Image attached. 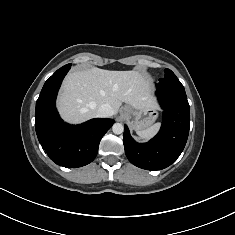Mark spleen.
<instances>
[{
    "label": "spleen",
    "mask_w": 235,
    "mask_h": 235,
    "mask_svg": "<svg viewBox=\"0 0 235 235\" xmlns=\"http://www.w3.org/2000/svg\"><path fill=\"white\" fill-rule=\"evenodd\" d=\"M161 124L157 123L153 126L148 127L147 129L138 131L137 134L140 138L149 140L159 131Z\"/></svg>",
    "instance_id": "spleen-1"
}]
</instances>
